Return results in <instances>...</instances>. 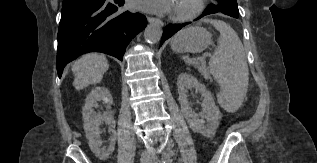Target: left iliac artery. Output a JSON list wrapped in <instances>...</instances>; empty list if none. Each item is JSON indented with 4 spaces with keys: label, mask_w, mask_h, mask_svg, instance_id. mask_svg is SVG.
Listing matches in <instances>:
<instances>
[{
    "label": "left iliac artery",
    "mask_w": 317,
    "mask_h": 163,
    "mask_svg": "<svg viewBox=\"0 0 317 163\" xmlns=\"http://www.w3.org/2000/svg\"><path fill=\"white\" fill-rule=\"evenodd\" d=\"M168 162H171V160H169L168 156H165L163 159V163H168Z\"/></svg>",
    "instance_id": "1"
}]
</instances>
